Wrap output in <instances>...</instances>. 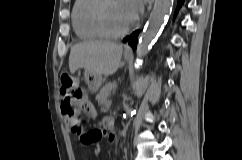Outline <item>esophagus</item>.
I'll use <instances>...</instances> for the list:
<instances>
[{
    "label": "esophagus",
    "mask_w": 242,
    "mask_h": 160,
    "mask_svg": "<svg viewBox=\"0 0 242 160\" xmlns=\"http://www.w3.org/2000/svg\"><path fill=\"white\" fill-rule=\"evenodd\" d=\"M125 52L126 53H132V49L129 46L125 47Z\"/></svg>",
    "instance_id": "esophagus-1"
}]
</instances>
